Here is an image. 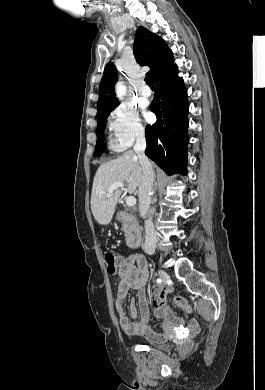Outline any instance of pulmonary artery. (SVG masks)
I'll return each mask as SVG.
<instances>
[{"instance_id": "pulmonary-artery-1", "label": "pulmonary artery", "mask_w": 265, "mask_h": 390, "mask_svg": "<svg viewBox=\"0 0 265 390\" xmlns=\"http://www.w3.org/2000/svg\"><path fill=\"white\" fill-rule=\"evenodd\" d=\"M139 93L142 97H149L151 95V90L145 84H142L139 89Z\"/></svg>"}]
</instances>
